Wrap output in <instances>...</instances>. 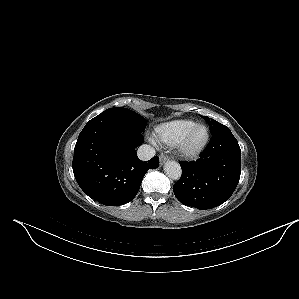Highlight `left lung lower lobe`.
Instances as JSON below:
<instances>
[{
  "label": "left lung lower lobe",
  "mask_w": 299,
  "mask_h": 299,
  "mask_svg": "<svg viewBox=\"0 0 299 299\" xmlns=\"http://www.w3.org/2000/svg\"><path fill=\"white\" fill-rule=\"evenodd\" d=\"M182 176L173 186L176 198L197 209H212L227 201L241 174V150L226 126L212 138L194 162L180 163Z\"/></svg>",
  "instance_id": "1"
}]
</instances>
